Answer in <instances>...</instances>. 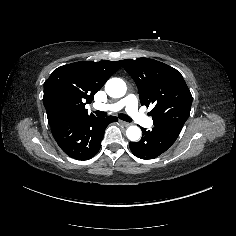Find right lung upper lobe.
<instances>
[{
    "label": "right lung upper lobe",
    "instance_id": "obj_1",
    "mask_svg": "<svg viewBox=\"0 0 236 236\" xmlns=\"http://www.w3.org/2000/svg\"><path fill=\"white\" fill-rule=\"evenodd\" d=\"M121 67V61H81L61 66L44 83L43 103L50 126L88 117L85 105Z\"/></svg>",
    "mask_w": 236,
    "mask_h": 236
}]
</instances>
